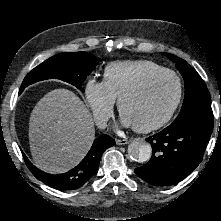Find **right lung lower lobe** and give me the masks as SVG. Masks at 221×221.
I'll return each mask as SVG.
<instances>
[{"label": "right lung lower lobe", "mask_w": 221, "mask_h": 221, "mask_svg": "<svg viewBox=\"0 0 221 221\" xmlns=\"http://www.w3.org/2000/svg\"><path fill=\"white\" fill-rule=\"evenodd\" d=\"M114 144L115 140L110 136H100L95 139L85 158L75 168L63 174L45 173L35 167L26 156H24V159L32 174L46 185L61 191L74 190L83 186L93 177L98 169L103 152Z\"/></svg>", "instance_id": "1"}]
</instances>
